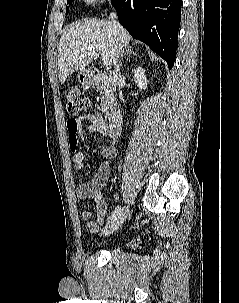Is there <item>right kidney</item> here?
Returning <instances> with one entry per match:
<instances>
[{
    "label": "right kidney",
    "instance_id": "1",
    "mask_svg": "<svg viewBox=\"0 0 239 303\" xmlns=\"http://www.w3.org/2000/svg\"><path fill=\"white\" fill-rule=\"evenodd\" d=\"M134 80H135V83L137 84V86L140 89H146L147 88L148 81H147V78L145 76V71L142 67H137L134 70Z\"/></svg>",
    "mask_w": 239,
    "mask_h": 303
}]
</instances>
